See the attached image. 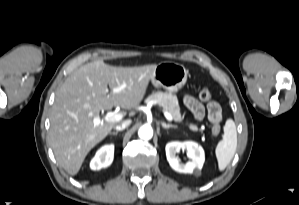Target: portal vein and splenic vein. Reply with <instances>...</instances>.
I'll return each instance as SVG.
<instances>
[{
	"label": "portal vein and splenic vein",
	"instance_id": "1",
	"mask_svg": "<svg viewBox=\"0 0 299 205\" xmlns=\"http://www.w3.org/2000/svg\"><path fill=\"white\" fill-rule=\"evenodd\" d=\"M122 88L123 87L115 88L114 91L119 92ZM163 113L168 121H172L173 118L170 113H168L167 111H164ZM122 118H123V115L121 113H108V114L104 115L102 118L99 116L94 117L93 123L95 126H98V125H100L102 120H104L106 122H118Z\"/></svg>",
	"mask_w": 299,
	"mask_h": 205
}]
</instances>
